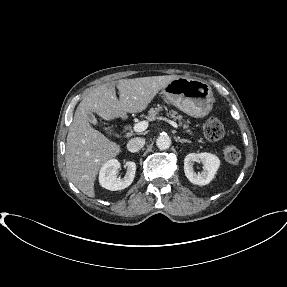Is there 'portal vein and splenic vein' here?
Masks as SVG:
<instances>
[{
	"label": "portal vein and splenic vein",
	"mask_w": 287,
	"mask_h": 287,
	"mask_svg": "<svg viewBox=\"0 0 287 287\" xmlns=\"http://www.w3.org/2000/svg\"><path fill=\"white\" fill-rule=\"evenodd\" d=\"M158 119H160V120H165V121H167L170 125H172L173 127L178 128L177 123L174 122V121L168 120L167 118H163V117H159ZM148 125H149V122L146 121V120H143V121H140V122L136 123V124L134 125L133 129H134L135 132L140 133V132L145 131V130L147 129Z\"/></svg>",
	"instance_id": "portal-vein-and-splenic-vein-1"
}]
</instances>
